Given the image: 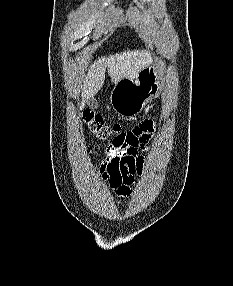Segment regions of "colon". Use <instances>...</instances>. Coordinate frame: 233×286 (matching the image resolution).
I'll return each mask as SVG.
<instances>
[{
    "instance_id": "1",
    "label": "colon",
    "mask_w": 233,
    "mask_h": 286,
    "mask_svg": "<svg viewBox=\"0 0 233 286\" xmlns=\"http://www.w3.org/2000/svg\"><path fill=\"white\" fill-rule=\"evenodd\" d=\"M83 119L88 125L92 133L99 139L106 140L114 137V140L121 135L127 134L129 132L138 131L140 124L136 126L133 130L125 132L119 124H109L107 123L101 115H98L91 111H85L83 113Z\"/></svg>"
}]
</instances>
